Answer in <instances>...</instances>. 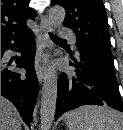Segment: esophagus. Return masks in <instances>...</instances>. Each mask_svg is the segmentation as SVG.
<instances>
[{
	"label": "esophagus",
	"instance_id": "1",
	"mask_svg": "<svg viewBox=\"0 0 123 130\" xmlns=\"http://www.w3.org/2000/svg\"><path fill=\"white\" fill-rule=\"evenodd\" d=\"M52 26L50 21L46 16H43L39 25V44L35 59V71L39 82H42L45 73L44 65V50L49 46V36L48 33L51 31Z\"/></svg>",
	"mask_w": 123,
	"mask_h": 130
}]
</instances>
